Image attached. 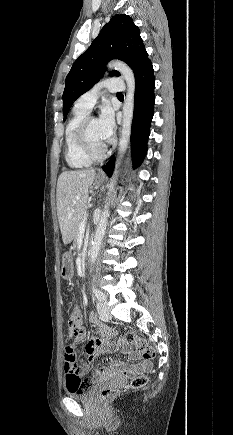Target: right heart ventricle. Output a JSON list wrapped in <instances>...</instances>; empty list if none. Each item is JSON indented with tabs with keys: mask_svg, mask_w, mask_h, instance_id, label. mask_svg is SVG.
I'll return each instance as SVG.
<instances>
[{
	"mask_svg": "<svg viewBox=\"0 0 233 435\" xmlns=\"http://www.w3.org/2000/svg\"><path fill=\"white\" fill-rule=\"evenodd\" d=\"M87 114L88 112L75 107L65 127V160L73 169L86 168L92 164L83 154L78 141V130Z\"/></svg>",
	"mask_w": 233,
	"mask_h": 435,
	"instance_id": "obj_1",
	"label": "right heart ventricle"
}]
</instances>
